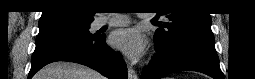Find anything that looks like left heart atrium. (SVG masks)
Listing matches in <instances>:
<instances>
[{
	"mask_svg": "<svg viewBox=\"0 0 255 79\" xmlns=\"http://www.w3.org/2000/svg\"><path fill=\"white\" fill-rule=\"evenodd\" d=\"M110 44L132 60L139 59L144 53L146 39L135 28H122L112 32Z\"/></svg>",
	"mask_w": 255,
	"mask_h": 79,
	"instance_id": "39dd6f15",
	"label": "left heart atrium"
}]
</instances>
